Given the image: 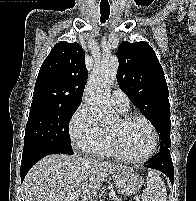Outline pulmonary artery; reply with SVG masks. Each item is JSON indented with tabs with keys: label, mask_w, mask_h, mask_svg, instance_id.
<instances>
[{
	"label": "pulmonary artery",
	"mask_w": 196,
	"mask_h": 201,
	"mask_svg": "<svg viewBox=\"0 0 196 201\" xmlns=\"http://www.w3.org/2000/svg\"><path fill=\"white\" fill-rule=\"evenodd\" d=\"M111 103L121 113L126 112L130 105L127 95L119 89L112 92Z\"/></svg>",
	"instance_id": "1"
}]
</instances>
